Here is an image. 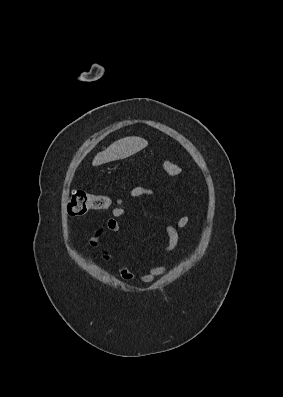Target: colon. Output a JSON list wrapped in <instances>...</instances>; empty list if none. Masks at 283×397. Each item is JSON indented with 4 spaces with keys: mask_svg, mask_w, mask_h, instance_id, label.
Returning <instances> with one entry per match:
<instances>
[{
    "mask_svg": "<svg viewBox=\"0 0 283 397\" xmlns=\"http://www.w3.org/2000/svg\"><path fill=\"white\" fill-rule=\"evenodd\" d=\"M162 166L169 177H175L181 173V168L176 163L166 161ZM110 206L111 199L108 196L79 189L72 193L67 204V211L70 215L78 216L84 215L90 210H105Z\"/></svg>",
    "mask_w": 283,
    "mask_h": 397,
    "instance_id": "1",
    "label": "colon"
}]
</instances>
